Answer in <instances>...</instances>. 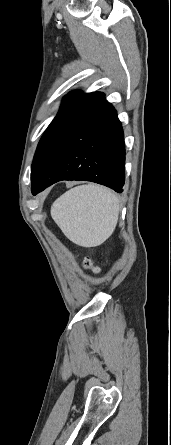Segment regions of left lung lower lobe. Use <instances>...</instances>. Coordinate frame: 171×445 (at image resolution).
Wrapping results in <instances>:
<instances>
[{"label":"left lung lower lobe","mask_w":171,"mask_h":445,"mask_svg":"<svg viewBox=\"0 0 171 445\" xmlns=\"http://www.w3.org/2000/svg\"><path fill=\"white\" fill-rule=\"evenodd\" d=\"M124 135L105 99L61 138L31 179L33 195L61 180L96 182L121 193L125 182Z\"/></svg>","instance_id":"obj_1"}]
</instances>
